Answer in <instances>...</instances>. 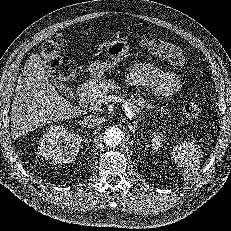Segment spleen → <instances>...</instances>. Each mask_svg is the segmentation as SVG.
<instances>
[{"mask_svg":"<svg viewBox=\"0 0 231 231\" xmlns=\"http://www.w3.org/2000/svg\"><path fill=\"white\" fill-rule=\"evenodd\" d=\"M199 153V146L191 141H183L173 147L172 158L181 168L185 180L191 179L200 167Z\"/></svg>","mask_w":231,"mask_h":231,"instance_id":"spleen-1","label":"spleen"}]
</instances>
